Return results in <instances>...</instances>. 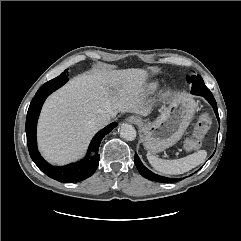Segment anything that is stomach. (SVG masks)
I'll list each match as a JSON object with an SVG mask.
<instances>
[{"label": "stomach", "instance_id": "stomach-1", "mask_svg": "<svg viewBox=\"0 0 241 241\" xmlns=\"http://www.w3.org/2000/svg\"><path fill=\"white\" fill-rule=\"evenodd\" d=\"M197 103L188 94L176 95L153 121L139 120L144 147L159 153L176 144L189 126Z\"/></svg>", "mask_w": 241, "mask_h": 241}]
</instances>
